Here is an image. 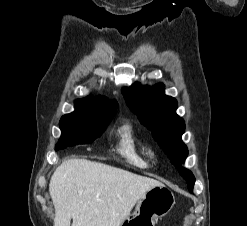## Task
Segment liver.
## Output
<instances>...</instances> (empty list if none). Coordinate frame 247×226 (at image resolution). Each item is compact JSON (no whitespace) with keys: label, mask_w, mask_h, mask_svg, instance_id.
I'll return each mask as SVG.
<instances>
[{"label":"liver","mask_w":247,"mask_h":226,"mask_svg":"<svg viewBox=\"0 0 247 226\" xmlns=\"http://www.w3.org/2000/svg\"><path fill=\"white\" fill-rule=\"evenodd\" d=\"M155 179L92 162L66 159L55 170L49 192L54 226H120Z\"/></svg>","instance_id":"6515ba94"}]
</instances>
